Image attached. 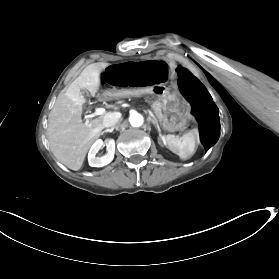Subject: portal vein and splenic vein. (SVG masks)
<instances>
[{
    "instance_id": "1",
    "label": "portal vein and splenic vein",
    "mask_w": 279,
    "mask_h": 279,
    "mask_svg": "<svg viewBox=\"0 0 279 279\" xmlns=\"http://www.w3.org/2000/svg\"><path fill=\"white\" fill-rule=\"evenodd\" d=\"M94 110L95 111L93 112L92 115H87L86 116V124H88L90 118L102 115L104 113V109L103 108L94 107Z\"/></svg>"
}]
</instances>
